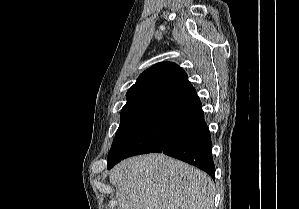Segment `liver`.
<instances>
[{"mask_svg":"<svg viewBox=\"0 0 299 209\" xmlns=\"http://www.w3.org/2000/svg\"><path fill=\"white\" fill-rule=\"evenodd\" d=\"M118 209H214L212 179L164 154L136 156L110 173Z\"/></svg>","mask_w":299,"mask_h":209,"instance_id":"6515ba94","label":"liver"}]
</instances>
